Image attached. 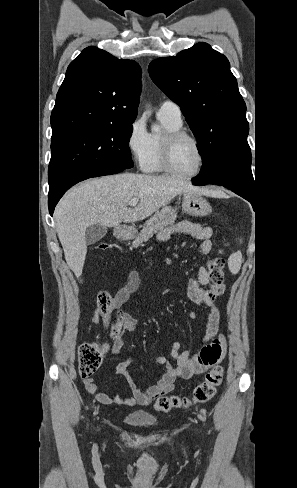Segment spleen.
Masks as SVG:
<instances>
[{
    "label": "spleen",
    "mask_w": 297,
    "mask_h": 488,
    "mask_svg": "<svg viewBox=\"0 0 297 488\" xmlns=\"http://www.w3.org/2000/svg\"><path fill=\"white\" fill-rule=\"evenodd\" d=\"M242 264V254L241 252H235L230 255L228 259V266L233 274H237L241 268Z\"/></svg>",
    "instance_id": "3e777b00"
}]
</instances>
